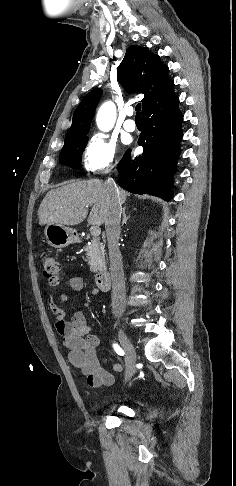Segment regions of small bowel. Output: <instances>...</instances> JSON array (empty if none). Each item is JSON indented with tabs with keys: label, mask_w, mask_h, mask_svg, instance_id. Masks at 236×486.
Instances as JSON below:
<instances>
[{
	"label": "small bowel",
	"mask_w": 236,
	"mask_h": 486,
	"mask_svg": "<svg viewBox=\"0 0 236 486\" xmlns=\"http://www.w3.org/2000/svg\"><path fill=\"white\" fill-rule=\"evenodd\" d=\"M65 285L74 290L84 289V282L81 277H71L66 280ZM95 294L90 290L89 295ZM48 306L55 316V327L61 335L63 345L68 350L70 363L79 368L86 376L87 383L93 388L110 386L114 383V376L100 366L98 347L99 337L93 333V327L88 324L85 314L77 311L71 320L66 318L65 312L53 301V295L47 298ZM116 373L123 371V365H113Z\"/></svg>",
	"instance_id": "1"
}]
</instances>
